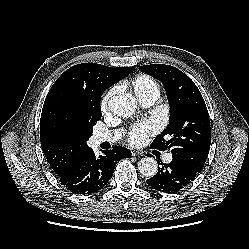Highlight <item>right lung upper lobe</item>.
Returning <instances> with one entry per match:
<instances>
[{
  "instance_id": "obj_1",
  "label": "right lung upper lobe",
  "mask_w": 249,
  "mask_h": 249,
  "mask_svg": "<svg viewBox=\"0 0 249 249\" xmlns=\"http://www.w3.org/2000/svg\"><path fill=\"white\" fill-rule=\"evenodd\" d=\"M133 68H112L96 63H82L66 70L51 87L46 101L55 87L66 84L71 88L88 95L104 92L108 87L119 81L113 74L114 70H132ZM134 70V69H133ZM44 105L40 120V141L43 153L54 172L63 174L87 149H80L77 141L69 135L54 129L53 123L47 118Z\"/></svg>"
}]
</instances>
